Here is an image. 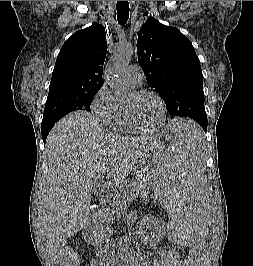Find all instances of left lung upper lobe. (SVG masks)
Wrapping results in <instances>:
<instances>
[{"instance_id":"left-lung-upper-lobe-1","label":"left lung upper lobe","mask_w":253,"mask_h":266,"mask_svg":"<svg viewBox=\"0 0 253 266\" xmlns=\"http://www.w3.org/2000/svg\"><path fill=\"white\" fill-rule=\"evenodd\" d=\"M138 62L172 116L207 127L203 74L192 43L178 29L149 19L138 31Z\"/></svg>"}]
</instances>
